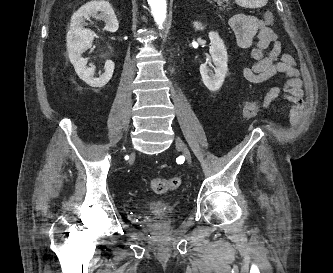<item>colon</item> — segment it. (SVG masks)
Masks as SVG:
<instances>
[{
  "mask_svg": "<svg viewBox=\"0 0 333 273\" xmlns=\"http://www.w3.org/2000/svg\"><path fill=\"white\" fill-rule=\"evenodd\" d=\"M264 20L268 24H272L274 21V16L272 12H266L264 14ZM261 109L260 101H247L241 106L242 115L245 118L254 117ZM181 184L179 177H172L170 179L165 178H155L151 182V188L156 194H165L167 192L176 190Z\"/></svg>",
  "mask_w": 333,
  "mask_h": 273,
  "instance_id": "obj_1",
  "label": "colon"
}]
</instances>
